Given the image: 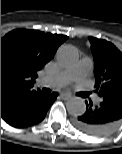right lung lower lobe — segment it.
<instances>
[{
	"instance_id": "obj_1",
	"label": "right lung lower lobe",
	"mask_w": 122,
	"mask_h": 154,
	"mask_svg": "<svg viewBox=\"0 0 122 154\" xmlns=\"http://www.w3.org/2000/svg\"><path fill=\"white\" fill-rule=\"evenodd\" d=\"M58 93L51 95L37 92L34 95L26 96L14 105L1 118L9 125L16 128H24L35 125L42 121L51 104L56 100Z\"/></svg>"
}]
</instances>
